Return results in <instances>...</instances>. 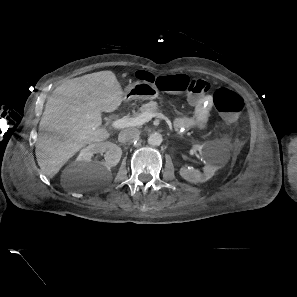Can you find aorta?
<instances>
[{"label": "aorta", "mask_w": 297, "mask_h": 297, "mask_svg": "<svg viewBox=\"0 0 297 297\" xmlns=\"http://www.w3.org/2000/svg\"><path fill=\"white\" fill-rule=\"evenodd\" d=\"M147 141L148 144L151 146H159L163 141V137L160 133H152L151 135H149Z\"/></svg>", "instance_id": "obj_1"}]
</instances>
